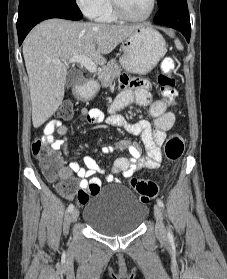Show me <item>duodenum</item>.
<instances>
[{"instance_id":"obj_1","label":"duodenum","mask_w":227,"mask_h":279,"mask_svg":"<svg viewBox=\"0 0 227 279\" xmlns=\"http://www.w3.org/2000/svg\"><path fill=\"white\" fill-rule=\"evenodd\" d=\"M84 79L80 78L78 84L74 88V96L77 100L87 101L88 98L84 94Z\"/></svg>"}]
</instances>
